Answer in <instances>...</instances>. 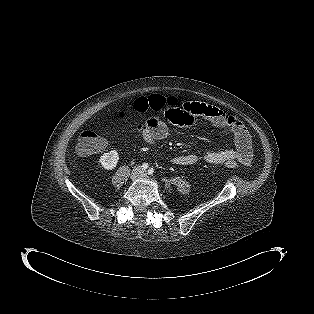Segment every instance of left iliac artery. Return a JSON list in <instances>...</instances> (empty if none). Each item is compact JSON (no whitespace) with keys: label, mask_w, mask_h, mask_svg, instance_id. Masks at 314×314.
I'll list each match as a JSON object with an SVG mask.
<instances>
[{"label":"left iliac artery","mask_w":314,"mask_h":314,"mask_svg":"<svg viewBox=\"0 0 314 314\" xmlns=\"http://www.w3.org/2000/svg\"><path fill=\"white\" fill-rule=\"evenodd\" d=\"M153 172H154V169H153V168H150V169L148 170V174H149V175H152Z\"/></svg>","instance_id":"obj_1"}]
</instances>
